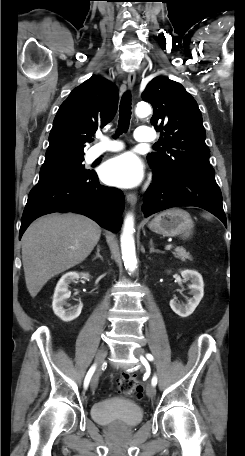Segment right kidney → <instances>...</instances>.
<instances>
[{
	"label": "right kidney",
	"mask_w": 245,
	"mask_h": 456,
	"mask_svg": "<svg viewBox=\"0 0 245 456\" xmlns=\"http://www.w3.org/2000/svg\"><path fill=\"white\" fill-rule=\"evenodd\" d=\"M88 278L89 275L86 273L79 274L77 272H68L64 274L58 281L54 295L52 307L55 315H57L64 322H70L76 319L80 314L83 305L80 303L75 307H70L66 300L70 297L68 286L71 282H75L79 278ZM66 306L67 308H64Z\"/></svg>",
	"instance_id": "ca27d5eb"
}]
</instances>
